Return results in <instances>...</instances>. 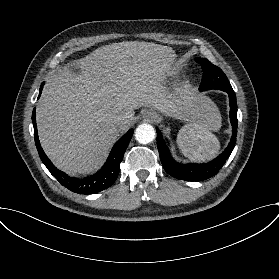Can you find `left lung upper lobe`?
<instances>
[{"mask_svg":"<svg viewBox=\"0 0 279 279\" xmlns=\"http://www.w3.org/2000/svg\"><path fill=\"white\" fill-rule=\"evenodd\" d=\"M195 61L201 65L203 70L202 82L199 87L200 91L209 89L227 91L232 89L227 76L219 67L204 58H196Z\"/></svg>","mask_w":279,"mask_h":279,"instance_id":"5c2ea615","label":"left lung upper lobe"}]
</instances>
